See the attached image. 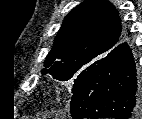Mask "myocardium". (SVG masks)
<instances>
[{
    "label": "myocardium",
    "instance_id": "obj_1",
    "mask_svg": "<svg viewBox=\"0 0 142 119\" xmlns=\"http://www.w3.org/2000/svg\"><path fill=\"white\" fill-rule=\"evenodd\" d=\"M57 98V95L51 96V100H55Z\"/></svg>",
    "mask_w": 142,
    "mask_h": 119
}]
</instances>
